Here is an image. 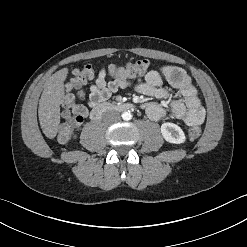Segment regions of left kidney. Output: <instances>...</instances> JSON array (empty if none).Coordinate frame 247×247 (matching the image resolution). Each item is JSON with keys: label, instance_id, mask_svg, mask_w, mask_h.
Returning <instances> with one entry per match:
<instances>
[{"label": "left kidney", "instance_id": "left-kidney-1", "mask_svg": "<svg viewBox=\"0 0 247 247\" xmlns=\"http://www.w3.org/2000/svg\"><path fill=\"white\" fill-rule=\"evenodd\" d=\"M161 133L163 138L169 143L182 144L186 140L183 130L174 123H163L161 125Z\"/></svg>", "mask_w": 247, "mask_h": 247}]
</instances>
